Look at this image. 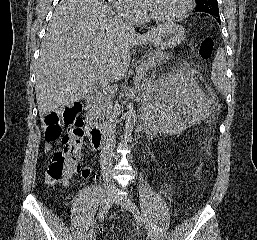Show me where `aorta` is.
Here are the masks:
<instances>
[{
  "label": "aorta",
  "instance_id": "1",
  "mask_svg": "<svg viewBox=\"0 0 257 240\" xmlns=\"http://www.w3.org/2000/svg\"><path fill=\"white\" fill-rule=\"evenodd\" d=\"M137 116L133 105H130L127 113L125 114V128H124V139L128 141L132 135Z\"/></svg>",
  "mask_w": 257,
  "mask_h": 240
}]
</instances>
